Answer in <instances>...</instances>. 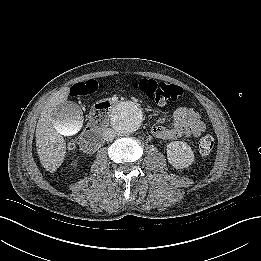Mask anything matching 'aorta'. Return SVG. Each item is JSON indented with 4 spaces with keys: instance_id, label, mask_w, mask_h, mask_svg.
<instances>
[{
    "instance_id": "aorta-1",
    "label": "aorta",
    "mask_w": 261,
    "mask_h": 261,
    "mask_svg": "<svg viewBox=\"0 0 261 261\" xmlns=\"http://www.w3.org/2000/svg\"><path fill=\"white\" fill-rule=\"evenodd\" d=\"M110 122L118 133L130 134L140 128L143 122V112L137 103L122 102L112 110Z\"/></svg>"
}]
</instances>
